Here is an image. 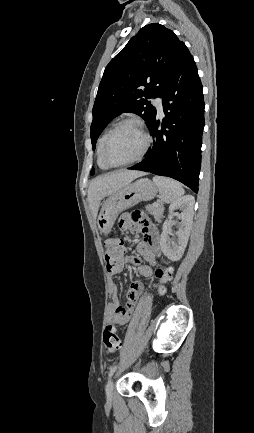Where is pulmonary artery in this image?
I'll return each instance as SVG.
<instances>
[{
  "instance_id": "e3ab8cb5",
  "label": "pulmonary artery",
  "mask_w": 254,
  "mask_h": 433,
  "mask_svg": "<svg viewBox=\"0 0 254 433\" xmlns=\"http://www.w3.org/2000/svg\"><path fill=\"white\" fill-rule=\"evenodd\" d=\"M154 105L157 109V111L162 114L163 113V106H162V100L160 97H156L154 100Z\"/></svg>"
}]
</instances>
